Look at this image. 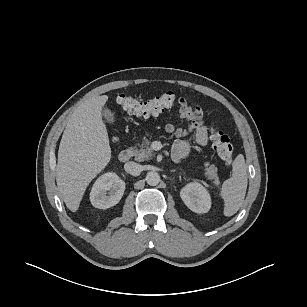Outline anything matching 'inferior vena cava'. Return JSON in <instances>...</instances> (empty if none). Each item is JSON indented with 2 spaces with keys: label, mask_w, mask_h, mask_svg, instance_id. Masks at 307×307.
<instances>
[{
  "label": "inferior vena cava",
  "mask_w": 307,
  "mask_h": 307,
  "mask_svg": "<svg viewBox=\"0 0 307 307\" xmlns=\"http://www.w3.org/2000/svg\"><path fill=\"white\" fill-rule=\"evenodd\" d=\"M124 169L127 173L133 175V176H138L142 172V166L138 163H135L133 161L127 162L124 165Z\"/></svg>",
  "instance_id": "602c4592"
}]
</instances>
